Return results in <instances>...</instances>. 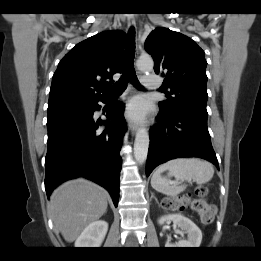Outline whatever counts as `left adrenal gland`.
Instances as JSON below:
<instances>
[{
  "mask_svg": "<svg viewBox=\"0 0 261 261\" xmlns=\"http://www.w3.org/2000/svg\"><path fill=\"white\" fill-rule=\"evenodd\" d=\"M151 198H154L155 201H156V203L159 204L158 199L154 196V193H153V192H151ZM159 205H161V204H159Z\"/></svg>",
  "mask_w": 261,
  "mask_h": 261,
  "instance_id": "obj_1",
  "label": "left adrenal gland"
}]
</instances>
